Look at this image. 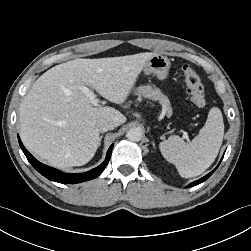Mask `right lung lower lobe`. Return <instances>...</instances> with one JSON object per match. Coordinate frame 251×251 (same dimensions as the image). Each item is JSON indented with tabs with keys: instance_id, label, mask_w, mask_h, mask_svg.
Returning a JSON list of instances; mask_svg holds the SVG:
<instances>
[{
	"instance_id": "1",
	"label": "right lung lower lobe",
	"mask_w": 251,
	"mask_h": 251,
	"mask_svg": "<svg viewBox=\"0 0 251 251\" xmlns=\"http://www.w3.org/2000/svg\"><path fill=\"white\" fill-rule=\"evenodd\" d=\"M18 141H19V145H20L22 151L24 152L25 156L27 157L28 161L32 164V166L40 174H42L44 177H46L49 180H52V181H55L58 183H63V184L80 183V182L94 179L95 177L100 175L109 162V159L111 157L112 148H113V144H112L110 146V148L108 149L105 161L101 165H99L98 167H96L88 172H85V173L67 174V173H63L57 169H54L52 167L46 166V165L42 164L41 162H39L38 160H36L23 146L19 136H18Z\"/></svg>"
}]
</instances>
